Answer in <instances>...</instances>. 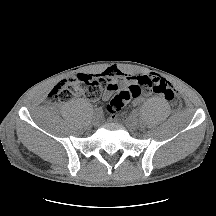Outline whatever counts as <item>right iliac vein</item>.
Returning a JSON list of instances; mask_svg holds the SVG:
<instances>
[{"label": "right iliac vein", "mask_w": 216, "mask_h": 216, "mask_svg": "<svg viewBox=\"0 0 216 216\" xmlns=\"http://www.w3.org/2000/svg\"><path fill=\"white\" fill-rule=\"evenodd\" d=\"M101 117L99 115H94L92 118L93 125H98L100 123Z\"/></svg>", "instance_id": "63e3f726"}]
</instances>
